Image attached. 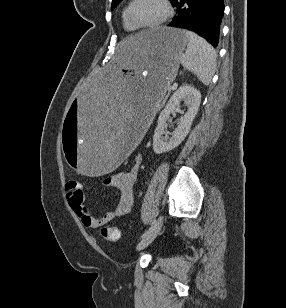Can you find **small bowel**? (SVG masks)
Segmentation results:
<instances>
[{
  "instance_id": "obj_1",
  "label": "small bowel",
  "mask_w": 286,
  "mask_h": 308,
  "mask_svg": "<svg viewBox=\"0 0 286 308\" xmlns=\"http://www.w3.org/2000/svg\"><path fill=\"white\" fill-rule=\"evenodd\" d=\"M141 163L142 156L137 155L134 163L128 170L113 174L105 179V185L119 190L120 196L114 209L102 216L95 217L89 212L84 202L81 185L78 191L67 190V201L72 210L80 218L84 227L88 229H97L131 211L133 205V188L138 177Z\"/></svg>"
}]
</instances>
